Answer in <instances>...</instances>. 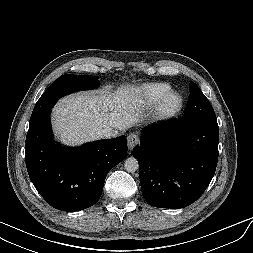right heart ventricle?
Wrapping results in <instances>:
<instances>
[{"label":"right heart ventricle","instance_id":"right-heart-ventricle-1","mask_svg":"<svg viewBox=\"0 0 253 253\" xmlns=\"http://www.w3.org/2000/svg\"><path fill=\"white\" fill-rule=\"evenodd\" d=\"M170 91L171 86L169 84L154 82L142 86L138 90L137 95L145 108H152Z\"/></svg>","mask_w":253,"mask_h":253}]
</instances>
